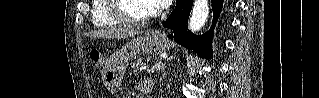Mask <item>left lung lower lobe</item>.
Segmentation results:
<instances>
[{
	"mask_svg": "<svg viewBox=\"0 0 319 98\" xmlns=\"http://www.w3.org/2000/svg\"><path fill=\"white\" fill-rule=\"evenodd\" d=\"M192 2V0H176L175 9L163 24L165 27L173 30V35L168 36L170 39L175 40L188 49L194 50L202 58L209 59L212 58V51L210 49L212 33L215 23L220 16L223 0H211L213 7V24L211 29L201 36H196L187 30V22L192 9Z\"/></svg>",
	"mask_w": 319,
	"mask_h": 98,
	"instance_id": "left-lung-lower-lobe-1",
	"label": "left lung lower lobe"
}]
</instances>
